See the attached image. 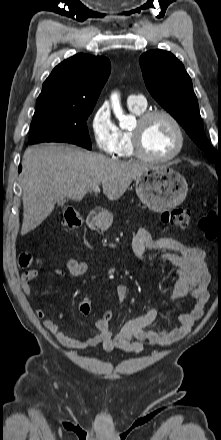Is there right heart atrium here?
I'll return each instance as SVG.
<instances>
[{"label":"right heart atrium","mask_w":221,"mask_h":440,"mask_svg":"<svg viewBox=\"0 0 221 440\" xmlns=\"http://www.w3.org/2000/svg\"><path fill=\"white\" fill-rule=\"evenodd\" d=\"M90 129L96 147L107 155H115L120 147V129L114 123L109 109L98 107L90 120Z\"/></svg>","instance_id":"1"}]
</instances>
